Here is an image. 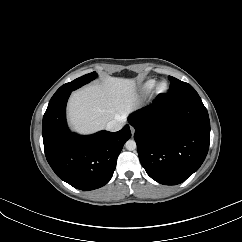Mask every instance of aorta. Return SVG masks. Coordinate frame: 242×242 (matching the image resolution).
I'll use <instances>...</instances> for the list:
<instances>
[{
    "mask_svg": "<svg viewBox=\"0 0 242 242\" xmlns=\"http://www.w3.org/2000/svg\"><path fill=\"white\" fill-rule=\"evenodd\" d=\"M125 147L127 150L129 151H133L136 149L137 145H136V142L134 140H128L126 143H125Z\"/></svg>",
    "mask_w": 242,
    "mask_h": 242,
    "instance_id": "aorta-1",
    "label": "aorta"
}]
</instances>
